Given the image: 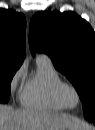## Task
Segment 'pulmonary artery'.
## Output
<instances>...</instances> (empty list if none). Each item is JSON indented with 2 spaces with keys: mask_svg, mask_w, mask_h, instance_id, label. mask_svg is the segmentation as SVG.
I'll return each instance as SVG.
<instances>
[{
  "mask_svg": "<svg viewBox=\"0 0 95 130\" xmlns=\"http://www.w3.org/2000/svg\"><path fill=\"white\" fill-rule=\"evenodd\" d=\"M37 59H48L49 60V58L46 55H39L37 57Z\"/></svg>",
  "mask_w": 95,
  "mask_h": 130,
  "instance_id": "obj_1",
  "label": "pulmonary artery"
}]
</instances>
